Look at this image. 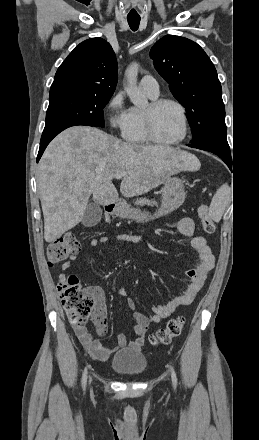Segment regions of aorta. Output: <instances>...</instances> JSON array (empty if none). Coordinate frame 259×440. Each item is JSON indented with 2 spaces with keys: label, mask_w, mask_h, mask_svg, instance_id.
<instances>
[{
  "label": "aorta",
  "mask_w": 259,
  "mask_h": 440,
  "mask_svg": "<svg viewBox=\"0 0 259 440\" xmlns=\"http://www.w3.org/2000/svg\"><path fill=\"white\" fill-rule=\"evenodd\" d=\"M138 71L139 64L136 62L131 63L126 69L125 75L127 78V84L125 86V92L134 106L143 108L147 106L148 100L141 89L137 86Z\"/></svg>",
  "instance_id": "aorta-1"
}]
</instances>
